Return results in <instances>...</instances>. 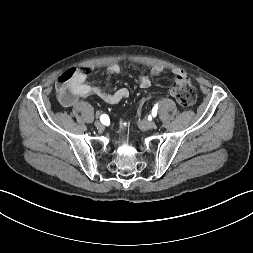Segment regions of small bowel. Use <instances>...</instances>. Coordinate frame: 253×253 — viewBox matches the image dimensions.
<instances>
[{"label":"small bowel","instance_id":"c3829d8e","mask_svg":"<svg viewBox=\"0 0 253 253\" xmlns=\"http://www.w3.org/2000/svg\"><path fill=\"white\" fill-rule=\"evenodd\" d=\"M163 71L161 66L152 67L150 74H142L139 76L138 83L141 88H148L152 83V78L160 75ZM76 74L70 85L71 97L68 100H61V103L66 107L73 106L79 98H85L90 95H96L105 103L115 105L120 103L122 100L129 97V90L127 88H120L114 93H108L104 89L96 86H91L86 82L87 70L78 69L75 71ZM110 74H118L121 72V67L118 64H112L108 67ZM174 80L177 86H181L186 83H190L186 73L180 69H174L172 71ZM175 87L170 89V94L175 96Z\"/></svg>","mask_w":253,"mask_h":253}]
</instances>
